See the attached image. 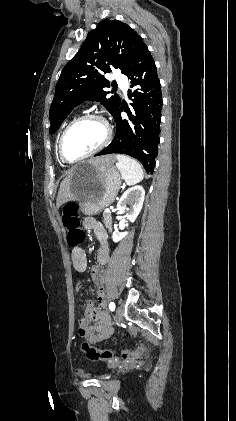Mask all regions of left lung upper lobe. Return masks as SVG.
<instances>
[{
	"instance_id": "1",
	"label": "left lung upper lobe",
	"mask_w": 236,
	"mask_h": 421,
	"mask_svg": "<svg viewBox=\"0 0 236 421\" xmlns=\"http://www.w3.org/2000/svg\"><path fill=\"white\" fill-rule=\"evenodd\" d=\"M142 44L137 32L119 20L104 19L89 32L56 84L49 111L50 134L55 133L74 106L84 100L99 101L114 116L121 98L117 94L107 97L110 92L104 88L110 87V83L104 74L113 69L126 74Z\"/></svg>"
}]
</instances>
